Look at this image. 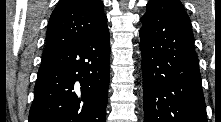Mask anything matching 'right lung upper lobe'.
I'll list each match as a JSON object with an SVG mask.
<instances>
[{
    "label": "right lung upper lobe",
    "instance_id": "right-lung-upper-lobe-1",
    "mask_svg": "<svg viewBox=\"0 0 221 122\" xmlns=\"http://www.w3.org/2000/svg\"><path fill=\"white\" fill-rule=\"evenodd\" d=\"M101 0H61L51 14L43 57L85 40L107 27Z\"/></svg>",
    "mask_w": 221,
    "mask_h": 122
}]
</instances>
